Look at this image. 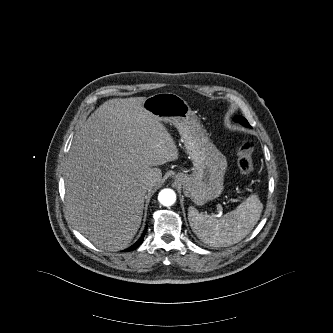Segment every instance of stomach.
Instances as JSON below:
<instances>
[{
    "label": "stomach",
    "mask_w": 333,
    "mask_h": 333,
    "mask_svg": "<svg viewBox=\"0 0 333 333\" xmlns=\"http://www.w3.org/2000/svg\"><path fill=\"white\" fill-rule=\"evenodd\" d=\"M142 106L160 122L173 124L182 138L194 165L192 174L175 175L185 196L197 205L219 197L224 188L227 161L210 141L188 103L177 94L163 92L147 97Z\"/></svg>",
    "instance_id": "0dacf381"
}]
</instances>
